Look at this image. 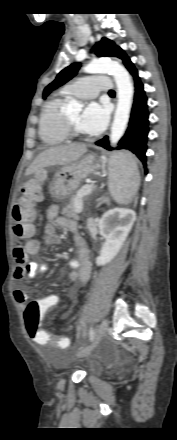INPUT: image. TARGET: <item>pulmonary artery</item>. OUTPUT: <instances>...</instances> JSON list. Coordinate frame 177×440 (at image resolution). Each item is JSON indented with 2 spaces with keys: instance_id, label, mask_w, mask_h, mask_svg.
<instances>
[{
  "instance_id": "1",
  "label": "pulmonary artery",
  "mask_w": 177,
  "mask_h": 440,
  "mask_svg": "<svg viewBox=\"0 0 177 440\" xmlns=\"http://www.w3.org/2000/svg\"><path fill=\"white\" fill-rule=\"evenodd\" d=\"M111 87L109 77L104 75H91L77 79L67 84L63 89L71 95L82 99L95 98L101 91H108Z\"/></svg>"
}]
</instances>
